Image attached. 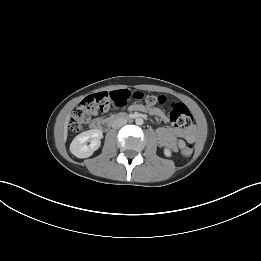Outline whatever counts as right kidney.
<instances>
[{"mask_svg":"<svg viewBox=\"0 0 261 261\" xmlns=\"http://www.w3.org/2000/svg\"><path fill=\"white\" fill-rule=\"evenodd\" d=\"M103 133L99 129H91L77 135L70 144V151L77 158L90 157L101 145ZM86 142H90L89 145Z\"/></svg>","mask_w":261,"mask_h":261,"instance_id":"right-kidney-1","label":"right kidney"}]
</instances>
